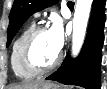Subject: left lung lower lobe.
I'll use <instances>...</instances> for the list:
<instances>
[{
  "mask_svg": "<svg viewBox=\"0 0 107 89\" xmlns=\"http://www.w3.org/2000/svg\"><path fill=\"white\" fill-rule=\"evenodd\" d=\"M105 0H94L87 38L79 56L69 55L62 65L46 79L86 89H100L101 50L104 42Z\"/></svg>",
  "mask_w": 107,
  "mask_h": 89,
  "instance_id": "1",
  "label": "left lung lower lobe"
}]
</instances>
